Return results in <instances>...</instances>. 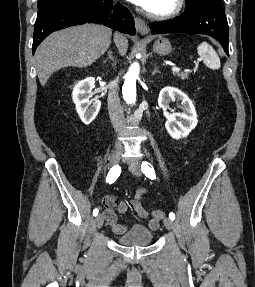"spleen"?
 Instances as JSON below:
<instances>
[{
    "instance_id": "spleen-1",
    "label": "spleen",
    "mask_w": 255,
    "mask_h": 287,
    "mask_svg": "<svg viewBox=\"0 0 255 287\" xmlns=\"http://www.w3.org/2000/svg\"><path fill=\"white\" fill-rule=\"evenodd\" d=\"M198 52L204 58V64H206L207 68H212V70L220 68L219 56H217L215 50L207 42H203V44L198 46Z\"/></svg>"
}]
</instances>
